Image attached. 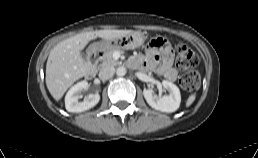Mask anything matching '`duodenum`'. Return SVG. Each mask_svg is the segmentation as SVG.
Wrapping results in <instances>:
<instances>
[{
    "instance_id": "obj_1",
    "label": "duodenum",
    "mask_w": 258,
    "mask_h": 158,
    "mask_svg": "<svg viewBox=\"0 0 258 158\" xmlns=\"http://www.w3.org/2000/svg\"><path fill=\"white\" fill-rule=\"evenodd\" d=\"M104 49L102 46L95 47L89 53V70L87 77L93 78L96 74V64L100 60L101 56L103 55Z\"/></svg>"
}]
</instances>
